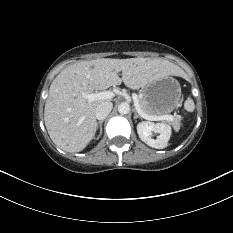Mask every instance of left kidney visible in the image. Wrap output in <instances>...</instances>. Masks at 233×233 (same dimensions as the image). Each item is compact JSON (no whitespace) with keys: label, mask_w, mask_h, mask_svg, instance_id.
Returning a JSON list of instances; mask_svg holds the SVG:
<instances>
[{"label":"left kidney","mask_w":233,"mask_h":233,"mask_svg":"<svg viewBox=\"0 0 233 233\" xmlns=\"http://www.w3.org/2000/svg\"><path fill=\"white\" fill-rule=\"evenodd\" d=\"M139 138L148 146L156 149H163L168 145L171 136V127L163 123L142 121L137 125ZM153 133H159L156 139L152 138Z\"/></svg>","instance_id":"left-kidney-1"}]
</instances>
